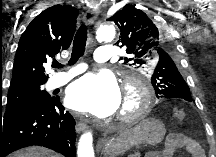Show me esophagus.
I'll list each match as a JSON object with an SVG mask.
<instances>
[{
    "label": "esophagus",
    "mask_w": 216,
    "mask_h": 157,
    "mask_svg": "<svg viewBox=\"0 0 216 157\" xmlns=\"http://www.w3.org/2000/svg\"><path fill=\"white\" fill-rule=\"evenodd\" d=\"M99 13H100L99 9L88 10L83 17L84 22L89 25L93 24V22L95 21ZM86 128H87L86 123L80 121L76 123L75 129L78 133L86 130Z\"/></svg>",
    "instance_id": "1"
}]
</instances>
